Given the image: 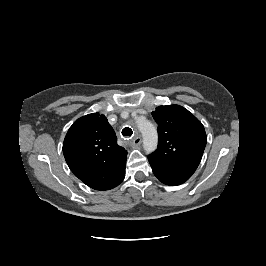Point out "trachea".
I'll use <instances>...</instances> for the list:
<instances>
[{
    "label": "trachea",
    "instance_id": "3493384b",
    "mask_svg": "<svg viewBox=\"0 0 266 266\" xmlns=\"http://www.w3.org/2000/svg\"><path fill=\"white\" fill-rule=\"evenodd\" d=\"M132 134H133V131H132L131 128H129V127H125V128H123V130H122V135H123L124 137H130V136H132Z\"/></svg>",
    "mask_w": 266,
    "mask_h": 266
}]
</instances>
